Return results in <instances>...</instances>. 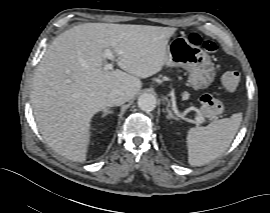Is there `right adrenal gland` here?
Segmentation results:
<instances>
[{
	"mask_svg": "<svg viewBox=\"0 0 270 213\" xmlns=\"http://www.w3.org/2000/svg\"><path fill=\"white\" fill-rule=\"evenodd\" d=\"M112 113H113V111H111V110H109V109L107 108V109H105V111L103 112L102 117H106L107 115L112 114Z\"/></svg>",
	"mask_w": 270,
	"mask_h": 213,
	"instance_id": "obj_1",
	"label": "right adrenal gland"
}]
</instances>
